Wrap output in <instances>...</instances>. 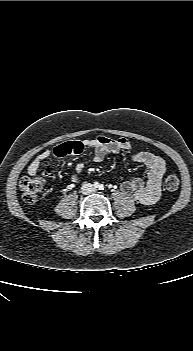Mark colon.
<instances>
[{"label":"colon","instance_id":"colon-1","mask_svg":"<svg viewBox=\"0 0 193 351\" xmlns=\"http://www.w3.org/2000/svg\"><path fill=\"white\" fill-rule=\"evenodd\" d=\"M164 184L168 190H175L179 186V178L174 173H168L165 176ZM19 187L23 200L28 204H33L42 195L44 180L41 177H23Z\"/></svg>","mask_w":193,"mask_h":351}]
</instances>
